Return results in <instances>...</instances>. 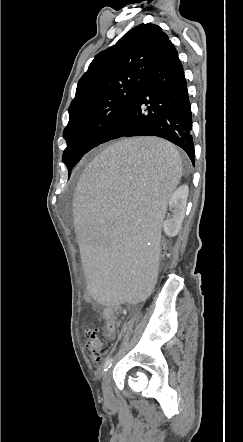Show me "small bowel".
<instances>
[{
	"label": "small bowel",
	"mask_w": 243,
	"mask_h": 442,
	"mask_svg": "<svg viewBox=\"0 0 243 442\" xmlns=\"http://www.w3.org/2000/svg\"><path fill=\"white\" fill-rule=\"evenodd\" d=\"M119 307H107L103 311L104 333L109 340H113L116 334V315Z\"/></svg>",
	"instance_id": "small-bowel-1"
}]
</instances>
